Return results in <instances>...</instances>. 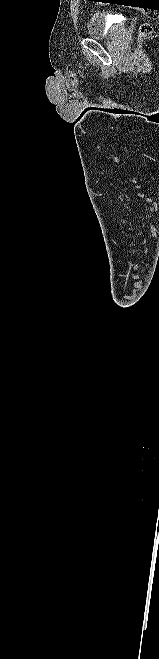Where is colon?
Masks as SVG:
<instances>
[{"label": "colon", "mask_w": 159, "mask_h": 659, "mask_svg": "<svg viewBox=\"0 0 159 659\" xmlns=\"http://www.w3.org/2000/svg\"><path fill=\"white\" fill-rule=\"evenodd\" d=\"M152 32H153V29H152L151 25H149L148 23L142 24L141 27H140V30H139L140 37L149 36V35L152 34Z\"/></svg>", "instance_id": "5ec220e1"}]
</instances>
